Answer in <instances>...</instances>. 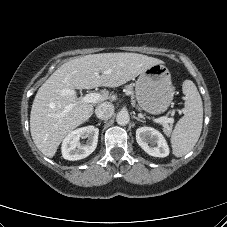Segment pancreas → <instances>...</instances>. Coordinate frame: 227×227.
I'll use <instances>...</instances> for the list:
<instances>
[{
    "label": "pancreas",
    "instance_id": "cf45deb5",
    "mask_svg": "<svg viewBox=\"0 0 227 227\" xmlns=\"http://www.w3.org/2000/svg\"><path fill=\"white\" fill-rule=\"evenodd\" d=\"M126 90L132 93L133 87L131 85H127ZM171 131H172V126L164 125V132L166 133V135H170Z\"/></svg>",
    "mask_w": 227,
    "mask_h": 227
}]
</instances>
